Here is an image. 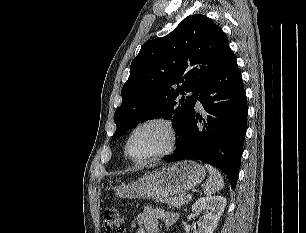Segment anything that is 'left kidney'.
<instances>
[{"mask_svg":"<svg viewBox=\"0 0 306 233\" xmlns=\"http://www.w3.org/2000/svg\"><path fill=\"white\" fill-rule=\"evenodd\" d=\"M225 207L226 198L222 196L198 199L192 206V212L199 215L204 211V216L202 221L198 223V229L194 233H213Z\"/></svg>","mask_w":306,"mask_h":233,"instance_id":"5707ae66","label":"left kidney"}]
</instances>
